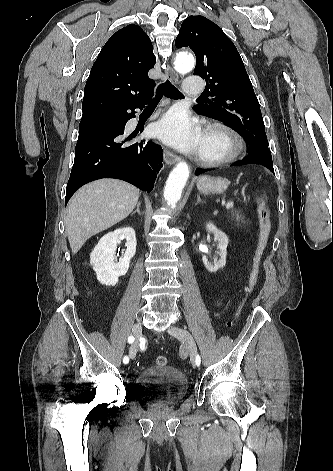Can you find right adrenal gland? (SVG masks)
I'll return each mask as SVG.
<instances>
[{
	"mask_svg": "<svg viewBox=\"0 0 333 471\" xmlns=\"http://www.w3.org/2000/svg\"><path fill=\"white\" fill-rule=\"evenodd\" d=\"M140 204H141V203H140V201H139V202L137 203V208H136V210H135L134 212H132V214H131V215L135 214L136 212H137L139 215H141V213H140V209H139V207H140Z\"/></svg>",
	"mask_w": 333,
	"mask_h": 471,
	"instance_id": "obj_1",
	"label": "right adrenal gland"
}]
</instances>
